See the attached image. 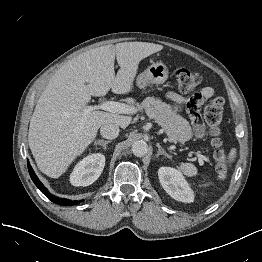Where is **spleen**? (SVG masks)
Wrapping results in <instances>:
<instances>
[{"label":"spleen","mask_w":262,"mask_h":262,"mask_svg":"<svg viewBox=\"0 0 262 262\" xmlns=\"http://www.w3.org/2000/svg\"><path fill=\"white\" fill-rule=\"evenodd\" d=\"M236 153H237V150L236 148H232L229 152V155H228V162L229 163H232L235 161L236 159ZM181 172L188 176V177H193L197 174V168L195 167V165H193L192 163H182L180 165V168Z\"/></svg>","instance_id":"3e777b00"}]
</instances>
